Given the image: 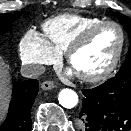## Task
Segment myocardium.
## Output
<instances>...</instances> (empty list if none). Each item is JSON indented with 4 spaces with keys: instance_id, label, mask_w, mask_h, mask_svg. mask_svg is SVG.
I'll list each match as a JSON object with an SVG mask.
<instances>
[{
    "instance_id": "f54148a6",
    "label": "myocardium",
    "mask_w": 131,
    "mask_h": 131,
    "mask_svg": "<svg viewBox=\"0 0 131 131\" xmlns=\"http://www.w3.org/2000/svg\"><path fill=\"white\" fill-rule=\"evenodd\" d=\"M109 25L116 27L120 33V43L116 51V54L114 58L112 59V61L109 63V65L97 73L84 74V73L76 72L77 76L83 81L91 82V83L102 81L106 79L109 75H111L114 72V70L117 68L122 58V55L125 49V44H126V34L123 27L119 23L115 21H111V20H103L98 23H95L89 26L88 28H86L85 30H83L73 40V42L68 46L67 50L65 51L66 60L68 64L71 65V61L74 54L89 41L91 36L100 28L104 26H109Z\"/></svg>"
}]
</instances>
